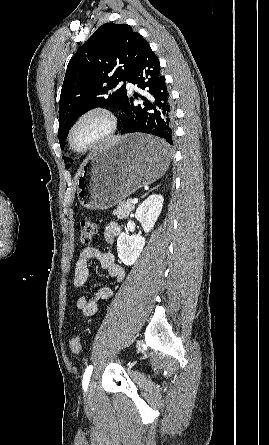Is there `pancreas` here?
<instances>
[{
    "label": "pancreas",
    "instance_id": "pancreas-1",
    "mask_svg": "<svg viewBox=\"0 0 269 445\" xmlns=\"http://www.w3.org/2000/svg\"><path fill=\"white\" fill-rule=\"evenodd\" d=\"M134 209V204L131 202V200L122 201L117 209L113 211V214L117 216L119 219H125L128 217L130 212Z\"/></svg>",
    "mask_w": 269,
    "mask_h": 445
}]
</instances>
